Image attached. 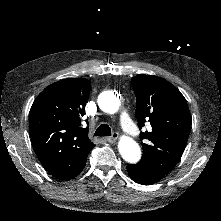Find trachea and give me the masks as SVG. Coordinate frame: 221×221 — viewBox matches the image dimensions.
<instances>
[{"label": "trachea", "mask_w": 221, "mask_h": 221, "mask_svg": "<svg viewBox=\"0 0 221 221\" xmlns=\"http://www.w3.org/2000/svg\"><path fill=\"white\" fill-rule=\"evenodd\" d=\"M95 136H110L111 129L108 124H101L94 133Z\"/></svg>", "instance_id": "trachea-1"}]
</instances>
